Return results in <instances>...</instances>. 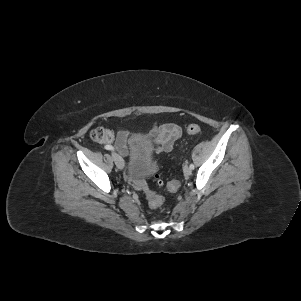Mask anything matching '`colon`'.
I'll list each match as a JSON object with an SVG mask.
<instances>
[{"mask_svg":"<svg viewBox=\"0 0 301 301\" xmlns=\"http://www.w3.org/2000/svg\"><path fill=\"white\" fill-rule=\"evenodd\" d=\"M186 131L188 134H198L201 131V128L197 124H190L187 126ZM93 141L98 143H109L113 140V134L110 130L103 129V128H97L91 131L90 134ZM153 172L155 173L157 177L158 172V164H153ZM158 183L161 185L162 182L158 181ZM180 183L177 180H173L168 183L167 189L171 192H175L179 189ZM144 194L146 196L148 205L152 208L159 207L163 204V197L156 192L152 191L148 186H145L143 188Z\"/></svg>","mask_w":301,"mask_h":301,"instance_id":"colon-1","label":"colon"}]
</instances>
